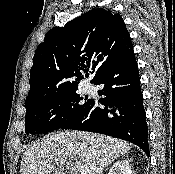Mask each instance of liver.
Here are the masks:
<instances>
[{
    "label": "liver",
    "mask_w": 175,
    "mask_h": 174,
    "mask_svg": "<svg viewBox=\"0 0 175 174\" xmlns=\"http://www.w3.org/2000/svg\"><path fill=\"white\" fill-rule=\"evenodd\" d=\"M130 148L126 141L98 133H52L27 148L20 174H77L78 163L85 166L87 174H101Z\"/></svg>",
    "instance_id": "1"
}]
</instances>
